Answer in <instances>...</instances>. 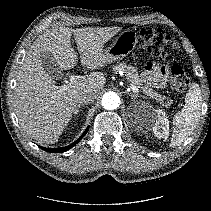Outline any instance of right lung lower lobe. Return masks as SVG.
I'll return each instance as SVG.
<instances>
[{
    "label": "right lung lower lobe",
    "mask_w": 211,
    "mask_h": 211,
    "mask_svg": "<svg viewBox=\"0 0 211 211\" xmlns=\"http://www.w3.org/2000/svg\"><path fill=\"white\" fill-rule=\"evenodd\" d=\"M88 130H89V127H87L86 131L82 134V136L79 139H77L76 141H74L72 144L68 146L60 147V148H45V147H40V148L50 153H63L71 149L72 147H74L82 139V137L87 133Z\"/></svg>",
    "instance_id": "1"
}]
</instances>
